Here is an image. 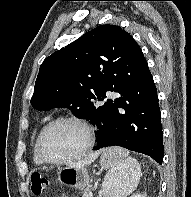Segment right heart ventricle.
I'll use <instances>...</instances> for the list:
<instances>
[{
    "label": "right heart ventricle",
    "instance_id": "e07e8e85",
    "mask_svg": "<svg viewBox=\"0 0 191 197\" xmlns=\"http://www.w3.org/2000/svg\"><path fill=\"white\" fill-rule=\"evenodd\" d=\"M33 161L36 165H39V166L44 164V162L40 159V157L37 154L36 142L33 147Z\"/></svg>",
    "mask_w": 191,
    "mask_h": 197
}]
</instances>
